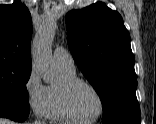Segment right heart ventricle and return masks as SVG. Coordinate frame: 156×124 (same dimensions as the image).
<instances>
[{
  "label": "right heart ventricle",
  "instance_id": "obj_1",
  "mask_svg": "<svg viewBox=\"0 0 156 124\" xmlns=\"http://www.w3.org/2000/svg\"><path fill=\"white\" fill-rule=\"evenodd\" d=\"M61 70L63 72L64 78H74L76 77V71L75 70H69L66 68L61 67ZM49 90V96H50V112H49V118L53 121L61 122V123H68L71 122L67 116L64 114L61 105H60V99H59V93H58V85H52L48 87Z\"/></svg>",
  "mask_w": 156,
  "mask_h": 124
}]
</instances>
